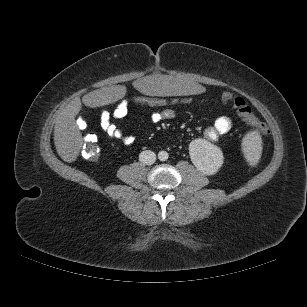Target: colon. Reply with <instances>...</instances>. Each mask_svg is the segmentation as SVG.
<instances>
[{"label": "colon", "instance_id": "1", "mask_svg": "<svg viewBox=\"0 0 307 307\" xmlns=\"http://www.w3.org/2000/svg\"><path fill=\"white\" fill-rule=\"evenodd\" d=\"M221 100L224 103H230L235 109L236 113L250 126L257 129L263 135L269 133L266 124L261 122L253 114L252 109L247 104V102L230 92H224L221 95ZM199 102L197 98L193 96H169V97H159V96H148V95H138L133 97H127L119 101L116 107L111 111L116 112L118 110L129 111L132 106L140 107H156V108H169L172 105L177 104H193ZM78 124L81 128L86 127V121L84 118H79ZM98 138L94 133H88L83 137L82 154L84 158L91 161H98L100 158V150L98 147Z\"/></svg>", "mask_w": 307, "mask_h": 307}]
</instances>
